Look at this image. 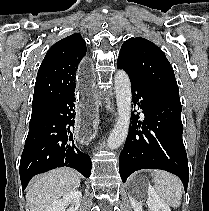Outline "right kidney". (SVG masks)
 I'll return each mask as SVG.
<instances>
[{
    "label": "right kidney",
    "instance_id": "1",
    "mask_svg": "<svg viewBox=\"0 0 209 211\" xmlns=\"http://www.w3.org/2000/svg\"><path fill=\"white\" fill-rule=\"evenodd\" d=\"M82 199V193L78 190L71 191L63 196V198L53 202L46 211H78Z\"/></svg>",
    "mask_w": 209,
    "mask_h": 211
}]
</instances>
